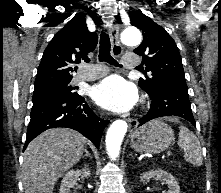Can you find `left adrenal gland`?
Wrapping results in <instances>:
<instances>
[{
  "instance_id": "obj_1",
  "label": "left adrenal gland",
  "mask_w": 221,
  "mask_h": 193,
  "mask_svg": "<svg viewBox=\"0 0 221 193\" xmlns=\"http://www.w3.org/2000/svg\"><path fill=\"white\" fill-rule=\"evenodd\" d=\"M130 156L134 159V156H133V154L132 153H130Z\"/></svg>"
}]
</instances>
